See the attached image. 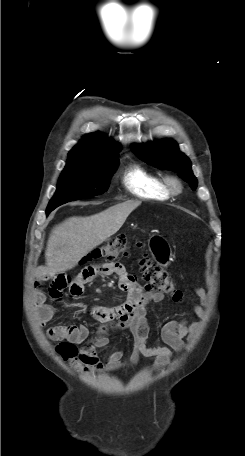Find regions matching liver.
Masks as SVG:
<instances>
[{
	"label": "liver",
	"instance_id": "6515ba94",
	"mask_svg": "<svg viewBox=\"0 0 245 456\" xmlns=\"http://www.w3.org/2000/svg\"><path fill=\"white\" fill-rule=\"evenodd\" d=\"M141 204L129 200L89 217H70L51 231L41 275H54L74 268L95 247L114 235L130 213Z\"/></svg>",
	"mask_w": 245,
	"mask_h": 456
}]
</instances>
